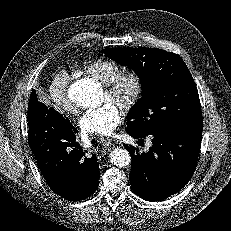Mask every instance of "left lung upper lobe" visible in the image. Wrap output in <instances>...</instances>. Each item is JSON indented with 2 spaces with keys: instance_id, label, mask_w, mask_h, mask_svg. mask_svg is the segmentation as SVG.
Instances as JSON below:
<instances>
[{
  "instance_id": "left-lung-upper-lobe-1",
  "label": "left lung upper lobe",
  "mask_w": 231,
  "mask_h": 231,
  "mask_svg": "<svg viewBox=\"0 0 231 231\" xmlns=\"http://www.w3.org/2000/svg\"><path fill=\"white\" fill-rule=\"evenodd\" d=\"M103 53L132 68L143 96L127 117V131L141 135L202 125L196 84L183 59L159 48H106Z\"/></svg>"
}]
</instances>
